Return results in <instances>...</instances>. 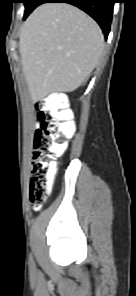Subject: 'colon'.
I'll return each instance as SVG.
<instances>
[{"label": "colon", "mask_w": 136, "mask_h": 296, "mask_svg": "<svg viewBox=\"0 0 136 296\" xmlns=\"http://www.w3.org/2000/svg\"><path fill=\"white\" fill-rule=\"evenodd\" d=\"M37 119L40 127L34 136L29 189V199L34 208L47 199L56 172V160L66 151L74 130L68 111L60 108L51 97L38 104Z\"/></svg>", "instance_id": "5ec220e1"}]
</instances>
